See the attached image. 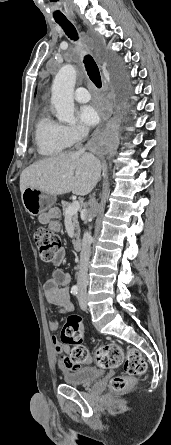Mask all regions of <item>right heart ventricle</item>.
Here are the masks:
<instances>
[{
  "mask_svg": "<svg viewBox=\"0 0 171 445\" xmlns=\"http://www.w3.org/2000/svg\"><path fill=\"white\" fill-rule=\"evenodd\" d=\"M35 143L39 154L44 156L61 154L69 145L64 137L62 125L46 113L40 116L36 124Z\"/></svg>",
  "mask_w": 171,
  "mask_h": 445,
  "instance_id": "obj_1",
  "label": "right heart ventricle"
}]
</instances>
